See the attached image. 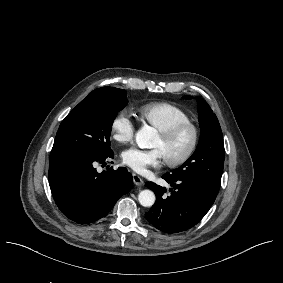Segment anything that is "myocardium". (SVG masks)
I'll return each mask as SVG.
<instances>
[{
  "label": "myocardium",
  "mask_w": 283,
  "mask_h": 283,
  "mask_svg": "<svg viewBox=\"0 0 283 283\" xmlns=\"http://www.w3.org/2000/svg\"><path fill=\"white\" fill-rule=\"evenodd\" d=\"M185 130H189L192 135L190 146L180 157L164 159L165 164L170 168L181 167L192 159L200 145L201 131L199 126L194 122L183 121L174 124L159 135L163 142L169 143L176 139V137Z\"/></svg>",
  "instance_id": "obj_1"
}]
</instances>
